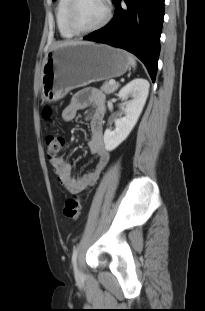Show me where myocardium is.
Instances as JSON below:
<instances>
[{
    "mask_svg": "<svg viewBox=\"0 0 205 311\" xmlns=\"http://www.w3.org/2000/svg\"><path fill=\"white\" fill-rule=\"evenodd\" d=\"M77 2L78 0H69V4L67 7V23L71 31L75 33L76 35H86V34L97 32L101 30L102 28H104L110 22L111 17H112V5L110 3V0H102L106 8V14L103 20L92 28H88V29L79 28L74 20V12H75Z\"/></svg>",
    "mask_w": 205,
    "mask_h": 311,
    "instance_id": "obj_1",
    "label": "myocardium"
}]
</instances>
